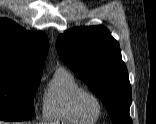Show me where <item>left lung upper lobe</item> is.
<instances>
[{"instance_id":"5c2ea615","label":"left lung upper lobe","mask_w":156,"mask_h":124,"mask_svg":"<svg viewBox=\"0 0 156 124\" xmlns=\"http://www.w3.org/2000/svg\"><path fill=\"white\" fill-rule=\"evenodd\" d=\"M62 61L102 100L113 124H132L131 85L118 42L104 26L77 27L59 35Z\"/></svg>"}]
</instances>
